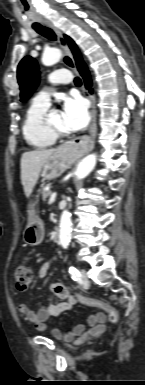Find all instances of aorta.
Listing matches in <instances>:
<instances>
[{
  "mask_svg": "<svg viewBox=\"0 0 145 385\" xmlns=\"http://www.w3.org/2000/svg\"><path fill=\"white\" fill-rule=\"evenodd\" d=\"M61 51L59 49L53 48L48 51H45L42 56V63L46 66L53 65L57 63L61 58ZM97 156L95 153L87 155L83 158L76 169L75 175L77 179H82L86 177L96 165ZM70 232H71V214L64 210L60 219V233L59 240L63 248H67L70 242Z\"/></svg>",
  "mask_w": 145,
  "mask_h": 385,
  "instance_id": "obj_1",
  "label": "aorta"
}]
</instances>
